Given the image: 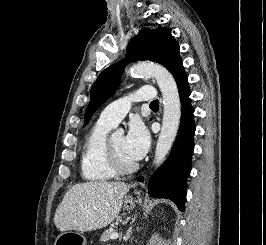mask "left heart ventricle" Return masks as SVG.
Listing matches in <instances>:
<instances>
[{
    "instance_id": "b2bd125f",
    "label": "left heart ventricle",
    "mask_w": 266,
    "mask_h": 245,
    "mask_svg": "<svg viewBox=\"0 0 266 245\" xmlns=\"http://www.w3.org/2000/svg\"><path fill=\"white\" fill-rule=\"evenodd\" d=\"M123 141H124V138L122 135L113 136L111 137V146H112L113 152L118 162L122 166L128 167L134 164V162L130 160L129 157L126 155L124 148H123Z\"/></svg>"
}]
</instances>
